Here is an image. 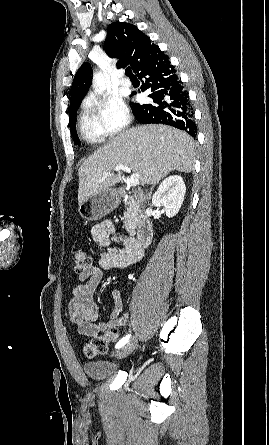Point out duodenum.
I'll list each match as a JSON object with an SVG mask.
<instances>
[{
  "label": "duodenum",
  "instance_id": "1",
  "mask_svg": "<svg viewBox=\"0 0 269 445\" xmlns=\"http://www.w3.org/2000/svg\"><path fill=\"white\" fill-rule=\"evenodd\" d=\"M123 196L129 197L142 204L146 200V196L141 191L124 192ZM153 238V224L150 218L143 215L137 224V232L134 240V245L139 248H145Z\"/></svg>",
  "mask_w": 269,
  "mask_h": 445
}]
</instances>
